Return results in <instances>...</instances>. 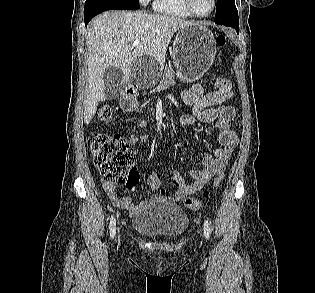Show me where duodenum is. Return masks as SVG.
I'll use <instances>...</instances> for the list:
<instances>
[{
    "label": "duodenum",
    "instance_id": "duodenum-1",
    "mask_svg": "<svg viewBox=\"0 0 315 293\" xmlns=\"http://www.w3.org/2000/svg\"><path fill=\"white\" fill-rule=\"evenodd\" d=\"M124 92H135V89L133 87H129Z\"/></svg>",
    "mask_w": 315,
    "mask_h": 293
}]
</instances>
